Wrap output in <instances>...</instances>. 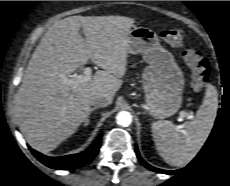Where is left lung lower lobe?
Masks as SVG:
<instances>
[{"label":"left lung lower lobe","instance_id":"obj_1","mask_svg":"<svg viewBox=\"0 0 230 186\" xmlns=\"http://www.w3.org/2000/svg\"><path fill=\"white\" fill-rule=\"evenodd\" d=\"M135 152H136V155L139 159V161L148 169L152 170V171H155V172H159V173H164V174H174L176 172H178L179 170H176V171H166V170H162V169H158V168H155L153 166H150L149 164H147L140 156L139 152H138V148L137 146L135 147Z\"/></svg>","mask_w":230,"mask_h":186}]
</instances>
